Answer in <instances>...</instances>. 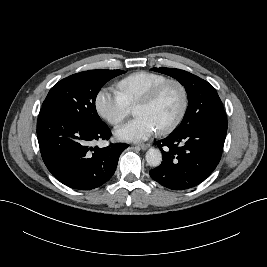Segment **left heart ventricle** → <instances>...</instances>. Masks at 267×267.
I'll use <instances>...</instances> for the list:
<instances>
[{
  "mask_svg": "<svg viewBox=\"0 0 267 267\" xmlns=\"http://www.w3.org/2000/svg\"><path fill=\"white\" fill-rule=\"evenodd\" d=\"M182 104V96L176 85H168L150 105H139L135 109L136 116L148 117L157 130L170 125L177 117Z\"/></svg>",
  "mask_w": 267,
  "mask_h": 267,
  "instance_id": "left-heart-ventricle-1",
  "label": "left heart ventricle"
}]
</instances>
